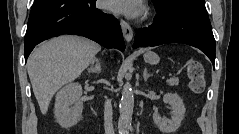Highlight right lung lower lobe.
Returning a JSON list of instances; mask_svg holds the SVG:
<instances>
[{
    "instance_id": "1",
    "label": "right lung lower lobe",
    "mask_w": 239,
    "mask_h": 134,
    "mask_svg": "<svg viewBox=\"0 0 239 134\" xmlns=\"http://www.w3.org/2000/svg\"><path fill=\"white\" fill-rule=\"evenodd\" d=\"M96 0H36L25 34V60L40 42L62 34H76L106 48L125 50L120 24L95 7Z\"/></svg>"
}]
</instances>
